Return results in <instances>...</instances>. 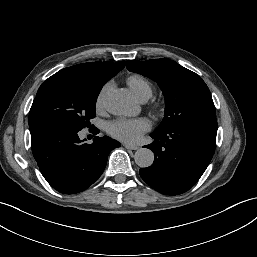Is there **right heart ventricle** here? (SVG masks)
Instances as JSON below:
<instances>
[{
  "mask_svg": "<svg viewBox=\"0 0 257 257\" xmlns=\"http://www.w3.org/2000/svg\"><path fill=\"white\" fill-rule=\"evenodd\" d=\"M127 84L138 100L148 99L153 93L151 83L140 75H133L127 79Z\"/></svg>",
  "mask_w": 257,
  "mask_h": 257,
  "instance_id": "1",
  "label": "right heart ventricle"
}]
</instances>
